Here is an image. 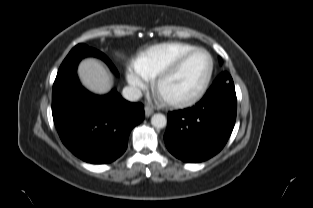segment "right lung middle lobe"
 <instances>
[{
    "instance_id": "dd1d6c3e",
    "label": "right lung middle lobe",
    "mask_w": 313,
    "mask_h": 208,
    "mask_svg": "<svg viewBox=\"0 0 313 208\" xmlns=\"http://www.w3.org/2000/svg\"><path fill=\"white\" fill-rule=\"evenodd\" d=\"M85 46L84 44H78L77 46H75L68 55H74L76 53H78L79 51H81L82 49H85Z\"/></svg>"
}]
</instances>
